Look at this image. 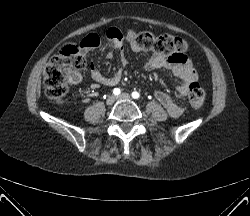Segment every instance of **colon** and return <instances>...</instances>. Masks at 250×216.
Returning <instances> with one entry per match:
<instances>
[{"instance_id":"colon-1","label":"colon","mask_w":250,"mask_h":216,"mask_svg":"<svg viewBox=\"0 0 250 216\" xmlns=\"http://www.w3.org/2000/svg\"><path fill=\"white\" fill-rule=\"evenodd\" d=\"M109 39L122 38L116 29L106 33ZM127 38L141 50H149L163 55L183 54L187 48L186 42L171 34L155 35L150 31L129 32ZM85 60L75 45L61 48L48 62L44 71V88L47 97L57 104L66 100L71 77L83 69ZM188 98L194 109L204 104L205 92L197 82H191L188 87Z\"/></svg>"}]
</instances>
